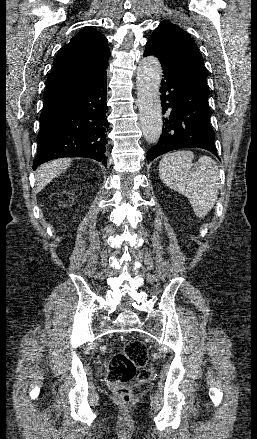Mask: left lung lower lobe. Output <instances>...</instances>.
<instances>
[{"mask_svg": "<svg viewBox=\"0 0 257 439\" xmlns=\"http://www.w3.org/2000/svg\"><path fill=\"white\" fill-rule=\"evenodd\" d=\"M148 55L156 56L150 48H146L144 56ZM161 65L163 79L160 92L165 117L162 135L147 152V160L152 161L162 154L182 148H202L219 159L214 143L215 133L210 124L209 92L182 71L162 62Z\"/></svg>", "mask_w": 257, "mask_h": 439, "instance_id": "0a47b994", "label": "left lung lower lobe"}]
</instances>
